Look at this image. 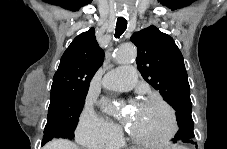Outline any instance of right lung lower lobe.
<instances>
[{
    "label": "right lung lower lobe",
    "mask_w": 227,
    "mask_h": 149,
    "mask_svg": "<svg viewBox=\"0 0 227 149\" xmlns=\"http://www.w3.org/2000/svg\"><path fill=\"white\" fill-rule=\"evenodd\" d=\"M50 140H52V139H47V142L50 141ZM42 145H44V143Z\"/></svg>",
    "instance_id": "obj_1"
}]
</instances>
